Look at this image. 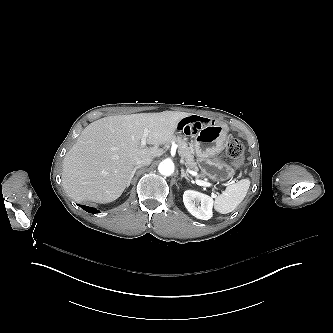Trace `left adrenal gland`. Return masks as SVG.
Returning a JSON list of instances; mask_svg holds the SVG:
<instances>
[{
    "label": "left adrenal gland",
    "mask_w": 333,
    "mask_h": 333,
    "mask_svg": "<svg viewBox=\"0 0 333 333\" xmlns=\"http://www.w3.org/2000/svg\"><path fill=\"white\" fill-rule=\"evenodd\" d=\"M189 175L185 173V170L182 168L181 169V178H185L188 182H190V179L188 177Z\"/></svg>",
    "instance_id": "a2214340"
}]
</instances>
